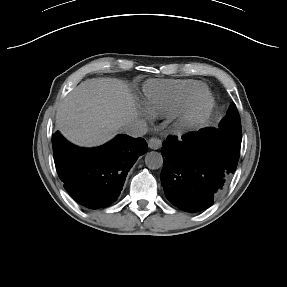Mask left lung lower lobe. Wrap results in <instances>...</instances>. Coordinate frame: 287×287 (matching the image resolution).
<instances>
[{
    "label": "left lung lower lobe",
    "mask_w": 287,
    "mask_h": 287,
    "mask_svg": "<svg viewBox=\"0 0 287 287\" xmlns=\"http://www.w3.org/2000/svg\"><path fill=\"white\" fill-rule=\"evenodd\" d=\"M162 145L165 196L183 211L198 212L214 203L235 171L241 130L201 129L182 140L168 137Z\"/></svg>",
    "instance_id": "obj_1"
}]
</instances>
